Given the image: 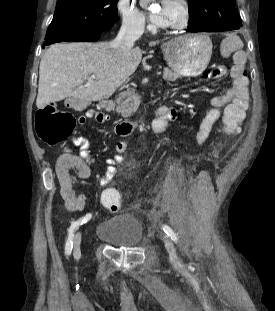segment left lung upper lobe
<instances>
[{
	"label": "left lung upper lobe",
	"mask_w": 275,
	"mask_h": 311,
	"mask_svg": "<svg viewBox=\"0 0 275 311\" xmlns=\"http://www.w3.org/2000/svg\"><path fill=\"white\" fill-rule=\"evenodd\" d=\"M188 25L197 26L216 23L226 28L239 29L242 22L235 9L234 0H188Z\"/></svg>",
	"instance_id": "5c2ea615"
}]
</instances>
